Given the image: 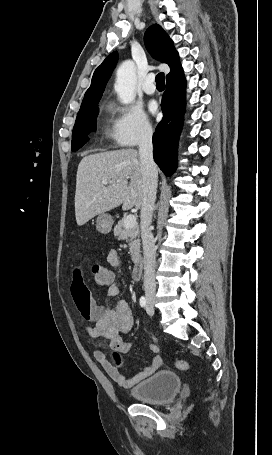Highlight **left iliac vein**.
I'll return each mask as SVG.
<instances>
[{"label": "left iliac vein", "instance_id": "1", "mask_svg": "<svg viewBox=\"0 0 272 455\" xmlns=\"http://www.w3.org/2000/svg\"><path fill=\"white\" fill-rule=\"evenodd\" d=\"M146 311H147L148 315H150V316H152L154 314V309L149 304L146 307Z\"/></svg>", "mask_w": 272, "mask_h": 455}]
</instances>
